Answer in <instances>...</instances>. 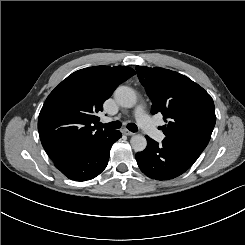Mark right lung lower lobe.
I'll use <instances>...</instances> for the list:
<instances>
[{"label": "right lung lower lobe", "mask_w": 245, "mask_h": 245, "mask_svg": "<svg viewBox=\"0 0 245 245\" xmlns=\"http://www.w3.org/2000/svg\"><path fill=\"white\" fill-rule=\"evenodd\" d=\"M121 136L120 131H109L88 142L66 148L52 161L71 180L93 179L106 168L110 149Z\"/></svg>", "instance_id": "obj_1"}]
</instances>
